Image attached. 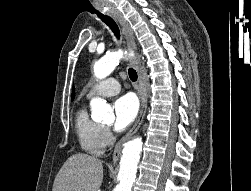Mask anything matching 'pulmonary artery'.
Here are the masks:
<instances>
[{
  "label": "pulmonary artery",
  "instance_id": "e3ab8cb5",
  "mask_svg": "<svg viewBox=\"0 0 251 191\" xmlns=\"http://www.w3.org/2000/svg\"><path fill=\"white\" fill-rule=\"evenodd\" d=\"M120 89V83L115 78L104 77L90 86L87 96L90 97L94 94L113 96L118 94Z\"/></svg>",
  "mask_w": 251,
  "mask_h": 191
}]
</instances>
